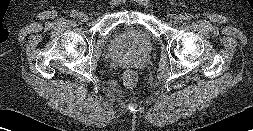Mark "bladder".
I'll return each mask as SVG.
<instances>
[{
  "label": "bladder",
  "mask_w": 253,
  "mask_h": 131,
  "mask_svg": "<svg viewBox=\"0 0 253 131\" xmlns=\"http://www.w3.org/2000/svg\"><path fill=\"white\" fill-rule=\"evenodd\" d=\"M144 19V16L140 15L139 16V20L142 21ZM117 31L112 32L111 34V39H114L117 35ZM140 44L142 46V48L144 49H149L151 48L156 40V37L153 33V31L151 30L150 27L146 26V27H142L140 29Z\"/></svg>",
  "instance_id": "bladder-1"
}]
</instances>
